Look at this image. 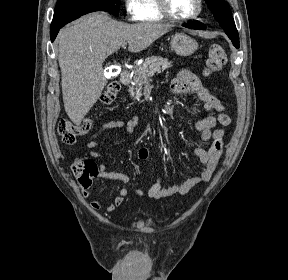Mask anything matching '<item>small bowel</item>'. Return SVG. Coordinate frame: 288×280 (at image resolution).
<instances>
[{"mask_svg":"<svg viewBox=\"0 0 288 280\" xmlns=\"http://www.w3.org/2000/svg\"><path fill=\"white\" fill-rule=\"evenodd\" d=\"M170 89L175 94L193 93L204 106L206 116L195 122V128L199 131L202 141L210 142V146L207 150L203 148L195 149V155L202 163L203 168L197 175L169 187L162 186L160 175H158L156 181L148 190L136 187H123L113 201L106 206L107 212H113L117 207L122 205L126 197L131 193L152 199L183 195L195 186L208 182L212 177L222 153L224 138L223 129L215 127L218 124L221 126H228L231 122L230 116L225 112V105L209 92L197 75L187 69H181L177 73L171 81ZM137 121V117H134L128 121L110 120L104 123L86 144V147L90 150V156L93 158H101V153L96 149L102 145L108 135L113 130L117 129L132 133ZM99 137H102L101 141L98 140ZM148 155L149 151L145 147H141L137 151V156L141 160L147 159ZM99 176L103 179L119 180L124 184L130 182V177L127 174L118 171H110L104 164L99 166ZM82 195L84 198L88 199L90 197L89 189L84 188ZM90 206L97 210L101 207V201L99 199H93L90 202Z\"/></svg>","mask_w":288,"mask_h":280,"instance_id":"1","label":"small bowel"}]
</instances>
